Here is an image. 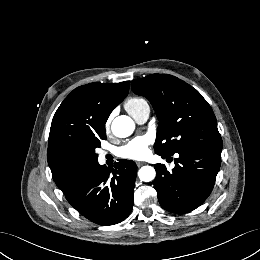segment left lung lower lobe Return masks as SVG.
I'll use <instances>...</instances> for the list:
<instances>
[{
	"instance_id": "left-lung-lower-lobe-1",
	"label": "left lung lower lobe",
	"mask_w": 260,
	"mask_h": 260,
	"mask_svg": "<svg viewBox=\"0 0 260 260\" xmlns=\"http://www.w3.org/2000/svg\"><path fill=\"white\" fill-rule=\"evenodd\" d=\"M178 154L172 172L164 164L154 165V188L165 210L186 213L199 207L210 195L221 164V149L192 148Z\"/></svg>"
}]
</instances>
